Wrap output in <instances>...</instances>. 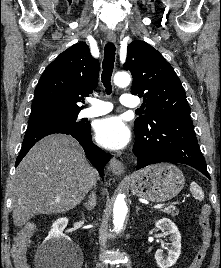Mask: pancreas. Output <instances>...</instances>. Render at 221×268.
<instances>
[{
  "instance_id": "cf45deb5",
  "label": "pancreas",
  "mask_w": 221,
  "mask_h": 268,
  "mask_svg": "<svg viewBox=\"0 0 221 268\" xmlns=\"http://www.w3.org/2000/svg\"><path fill=\"white\" fill-rule=\"evenodd\" d=\"M162 212L170 214L173 217L177 216L179 213L175 206H169V207L163 209Z\"/></svg>"
}]
</instances>
